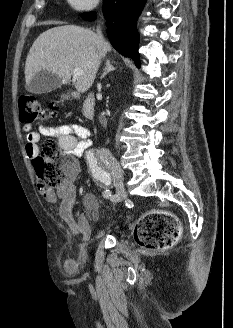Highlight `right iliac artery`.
<instances>
[{
  "mask_svg": "<svg viewBox=\"0 0 233 328\" xmlns=\"http://www.w3.org/2000/svg\"><path fill=\"white\" fill-rule=\"evenodd\" d=\"M87 163L91 170L92 176L95 179V182L101 188H104L103 196L105 198L111 197V192L108 189V186L111 184V177L109 172V163L100 150L94 149L86 153Z\"/></svg>",
  "mask_w": 233,
  "mask_h": 328,
  "instance_id": "obj_1",
  "label": "right iliac artery"
}]
</instances>
